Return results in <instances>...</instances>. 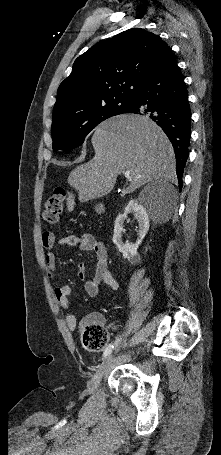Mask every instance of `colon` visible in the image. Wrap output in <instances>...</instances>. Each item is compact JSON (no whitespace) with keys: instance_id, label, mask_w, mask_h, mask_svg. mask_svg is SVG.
Listing matches in <instances>:
<instances>
[{"instance_id":"5ec220e1","label":"colon","mask_w":221,"mask_h":455,"mask_svg":"<svg viewBox=\"0 0 221 455\" xmlns=\"http://www.w3.org/2000/svg\"><path fill=\"white\" fill-rule=\"evenodd\" d=\"M65 190L58 188L43 206V218L49 224L58 222L64 207ZM108 342V331L98 320H89L82 329L83 347L92 352L103 350Z\"/></svg>"}]
</instances>
